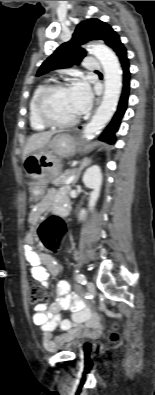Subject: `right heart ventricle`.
I'll return each instance as SVG.
<instances>
[{"label":"right heart ventricle","instance_id":"e07e8e85","mask_svg":"<svg viewBox=\"0 0 155 395\" xmlns=\"http://www.w3.org/2000/svg\"><path fill=\"white\" fill-rule=\"evenodd\" d=\"M44 87H45L44 84L38 85L35 88V90L33 91L32 96L29 100V122H30V126L32 127V129H34L36 131H42L48 127L37 118L36 113H35L36 98H37L38 94L40 93V91Z\"/></svg>","mask_w":155,"mask_h":395}]
</instances>
